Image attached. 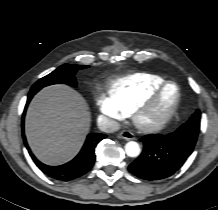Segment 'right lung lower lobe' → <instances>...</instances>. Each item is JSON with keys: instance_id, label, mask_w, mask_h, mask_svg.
I'll return each instance as SVG.
<instances>
[{"instance_id": "98d812e1", "label": "right lung lower lobe", "mask_w": 218, "mask_h": 210, "mask_svg": "<svg viewBox=\"0 0 218 210\" xmlns=\"http://www.w3.org/2000/svg\"><path fill=\"white\" fill-rule=\"evenodd\" d=\"M34 95L35 94L31 92L29 93L26 107ZM105 137L106 135L101 133L89 134L80 153L73 160L60 166H48L35 158L27 145L25 136L23 135L25 146L38 168L49 177L61 181H69L86 174L94 165L96 157L95 148L97 144Z\"/></svg>"}]
</instances>
